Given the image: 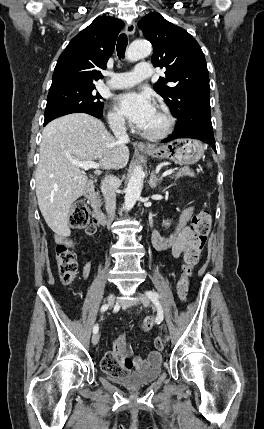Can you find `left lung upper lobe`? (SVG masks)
Wrapping results in <instances>:
<instances>
[{"label": "left lung upper lobe", "instance_id": "5c2ea615", "mask_svg": "<svg viewBox=\"0 0 264 429\" xmlns=\"http://www.w3.org/2000/svg\"><path fill=\"white\" fill-rule=\"evenodd\" d=\"M153 45L152 63L165 68L154 90L160 94L178 124L187 122L201 109H210L209 74L206 60L197 41L183 28L152 12L139 23Z\"/></svg>", "mask_w": 264, "mask_h": 429}]
</instances>
